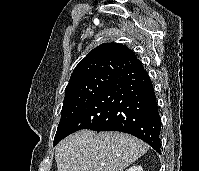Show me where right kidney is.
Here are the masks:
<instances>
[{"label": "right kidney", "mask_w": 199, "mask_h": 171, "mask_svg": "<svg viewBox=\"0 0 199 171\" xmlns=\"http://www.w3.org/2000/svg\"><path fill=\"white\" fill-rule=\"evenodd\" d=\"M126 171H143L141 166H131L128 170Z\"/></svg>", "instance_id": "obj_1"}]
</instances>
